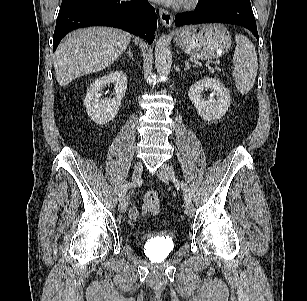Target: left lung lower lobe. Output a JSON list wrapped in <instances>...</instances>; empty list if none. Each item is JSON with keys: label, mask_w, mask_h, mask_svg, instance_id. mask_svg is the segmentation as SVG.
<instances>
[{"label": "left lung lower lobe", "mask_w": 307, "mask_h": 301, "mask_svg": "<svg viewBox=\"0 0 307 301\" xmlns=\"http://www.w3.org/2000/svg\"><path fill=\"white\" fill-rule=\"evenodd\" d=\"M199 4L200 9L197 11L176 16L175 25L210 22L237 24L249 29L258 39L256 21L250 0H227L224 2L200 0Z\"/></svg>", "instance_id": "0a47b994"}]
</instances>
